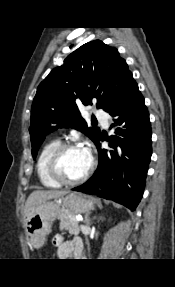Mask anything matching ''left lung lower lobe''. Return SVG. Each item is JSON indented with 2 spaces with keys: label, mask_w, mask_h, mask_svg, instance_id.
Listing matches in <instances>:
<instances>
[{
  "label": "left lung lower lobe",
  "mask_w": 175,
  "mask_h": 287,
  "mask_svg": "<svg viewBox=\"0 0 175 287\" xmlns=\"http://www.w3.org/2000/svg\"><path fill=\"white\" fill-rule=\"evenodd\" d=\"M110 115L121 125L116 136L110 137L113 150L103 149L100 137L95 144L99 153L97 170L73 190L113 200L134 211L142 198L152 155L149 112L137 83L126 101Z\"/></svg>",
  "instance_id": "0a47b994"
}]
</instances>
